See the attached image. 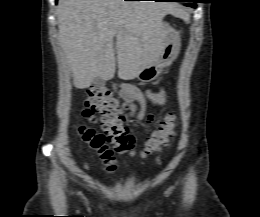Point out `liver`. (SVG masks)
<instances>
[{
    "label": "liver",
    "mask_w": 260,
    "mask_h": 217,
    "mask_svg": "<svg viewBox=\"0 0 260 217\" xmlns=\"http://www.w3.org/2000/svg\"><path fill=\"white\" fill-rule=\"evenodd\" d=\"M167 14L188 17L169 2L60 0L59 42L73 73L74 86L84 89L95 78L112 79L116 62L118 76L124 80L136 78L141 69L157 62L166 35L162 20Z\"/></svg>",
    "instance_id": "6515ba94"
}]
</instances>
